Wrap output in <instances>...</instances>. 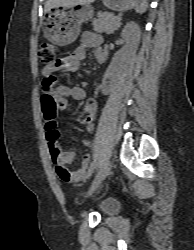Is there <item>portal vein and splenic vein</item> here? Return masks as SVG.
<instances>
[{"label":"portal vein and splenic vein","instance_id":"1","mask_svg":"<svg viewBox=\"0 0 194 250\" xmlns=\"http://www.w3.org/2000/svg\"><path fill=\"white\" fill-rule=\"evenodd\" d=\"M117 20H118V21H121V17H120V16H118V17H117Z\"/></svg>","mask_w":194,"mask_h":250}]
</instances>
